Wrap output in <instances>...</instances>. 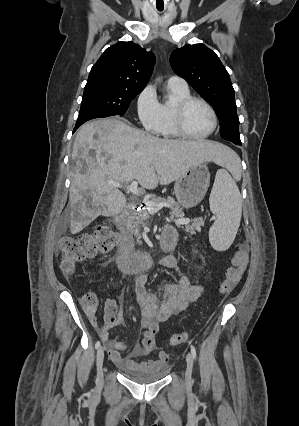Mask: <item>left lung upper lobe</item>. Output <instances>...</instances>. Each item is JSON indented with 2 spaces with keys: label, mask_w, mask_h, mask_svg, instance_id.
Returning <instances> with one entry per match:
<instances>
[{
  "label": "left lung upper lobe",
  "mask_w": 299,
  "mask_h": 426,
  "mask_svg": "<svg viewBox=\"0 0 299 426\" xmlns=\"http://www.w3.org/2000/svg\"><path fill=\"white\" fill-rule=\"evenodd\" d=\"M170 64L201 97L213 105L225 140L241 145L234 89L216 53L204 44L185 45L172 52Z\"/></svg>",
  "instance_id": "1"
}]
</instances>
